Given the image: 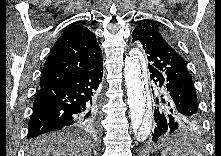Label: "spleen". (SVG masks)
<instances>
[{
  "label": "spleen",
  "instance_id": "spleen-1",
  "mask_svg": "<svg viewBox=\"0 0 221 156\" xmlns=\"http://www.w3.org/2000/svg\"><path fill=\"white\" fill-rule=\"evenodd\" d=\"M161 156H201V154L194 147L176 140L171 146L162 151Z\"/></svg>",
  "mask_w": 221,
  "mask_h": 156
}]
</instances>
